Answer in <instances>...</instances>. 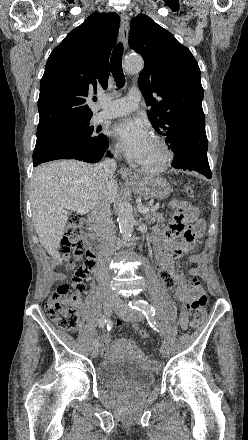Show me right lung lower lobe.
<instances>
[{
	"label": "right lung lower lobe",
	"instance_id": "98d812e1",
	"mask_svg": "<svg viewBox=\"0 0 248 440\" xmlns=\"http://www.w3.org/2000/svg\"><path fill=\"white\" fill-rule=\"evenodd\" d=\"M80 121L82 120L67 122L53 129L51 133L38 137L33 152V166L56 159H76L89 163L100 161L109 147L105 135H99L100 141L94 144L80 140L60 144L54 139V136L62 139L67 138L74 125Z\"/></svg>",
	"mask_w": 248,
	"mask_h": 440
}]
</instances>
